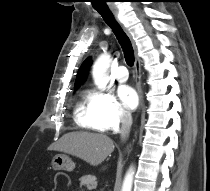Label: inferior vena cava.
<instances>
[{
    "mask_svg": "<svg viewBox=\"0 0 210 191\" xmlns=\"http://www.w3.org/2000/svg\"><path fill=\"white\" fill-rule=\"evenodd\" d=\"M121 140L125 141L130 133V129L132 126V116L131 113L128 111H124L121 115Z\"/></svg>",
    "mask_w": 210,
    "mask_h": 191,
    "instance_id": "inferior-vena-cava-1",
    "label": "inferior vena cava"
}]
</instances>
